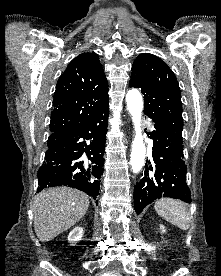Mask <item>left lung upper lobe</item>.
<instances>
[{
	"instance_id": "obj_1",
	"label": "left lung upper lobe",
	"mask_w": 221,
	"mask_h": 276,
	"mask_svg": "<svg viewBox=\"0 0 221 276\" xmlns=\"http://www.w3.org/2000/svg\"><path fill=\"white\" fill-rule=\"evenodd\" d=\"M130 87L144 94L145 114L156 125L182 136V102L178 81L172 70L157 56L143 53L132 66Z\"/></svg>"
}]
</instances>
